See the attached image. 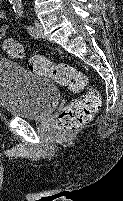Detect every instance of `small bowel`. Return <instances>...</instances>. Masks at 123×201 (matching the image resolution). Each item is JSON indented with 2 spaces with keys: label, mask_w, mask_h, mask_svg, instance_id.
<instances>
[{
  "label": "small bowel",
  "mask_w": 123,
  "mask_h": 201,
  "mask_svg": "<svg viewBox=\"0 0 123 201\" xmlns=\"http://www.w3.org/2000/svg\"><path fill=\"white\" fill-rule=\"evenodd\" d=\"M0 38H2L8 28V23H7V15L4 11L0 10Z\"/></svg>",
  "instance_id": "c3829d8e"
}]
</instances>
